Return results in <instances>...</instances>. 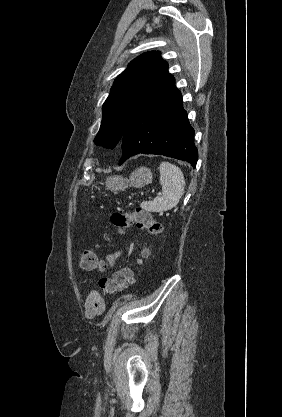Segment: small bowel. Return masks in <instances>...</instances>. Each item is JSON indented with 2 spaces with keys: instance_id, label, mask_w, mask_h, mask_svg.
I'll return each instance as SVG.
<instances>
[{
  "instance_id": "1",
  "label": "small bowel",
  "mask_w": 282,
  "mask_h": 417,
  "mask_svg": "<svg viewBox=\"0 0 282 417\" xmlns=\"http://www.w3.org/2000/svg\"><path fill=\"white\" fill-rule=\"evenodd\" d=\"M122 255L121 250H116L107 254L104 259L108 262L116 263L117 259ZM105 311V302L98 291H91L85 302V315L87 318H95Z\"/></svg>"
}]
</instances>
